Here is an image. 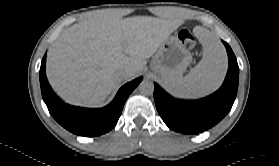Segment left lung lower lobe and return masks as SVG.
<instances>
[{"instance_id":"1","label":"left lung lower lobe","mask_w":279,"mask_h":166,"mask_svg":"<svg viewBox=\"0 0 279 166\" xmlns=\"http://www.w3.org/2000/svg\"><path fill=\"white\" fill-rule=\"evenodd\" d=\"M228 54V72L221 88L212 95L194 101L176 100L154 83L156 108L166 125L177 132H203L224 118L236 98L239 67L230 46L223 41Z\"/></svg>"}]
</instances>
